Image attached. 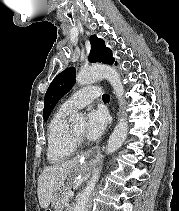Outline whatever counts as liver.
<instances>
[{"label": "liver", "instance_id": "6515ba94", "mask_svg": "<svg viewBox=\"0 0 179 211\" xmlns=\"http://www.w3.org/2000/svg\"><path fill=\"white\" fill-rule=\"evenodd\" d=\"M80 158L44 168L38 178L37 194L41 208L47 209L55 196L61 191L68 176L81 172Z\"/></svg>", "mask_w": 179, "mask_h": 211}]
</instances>
